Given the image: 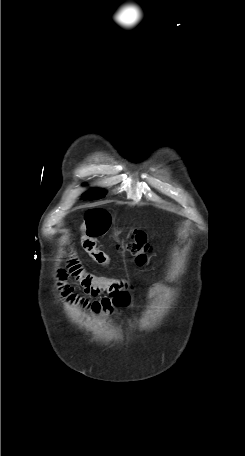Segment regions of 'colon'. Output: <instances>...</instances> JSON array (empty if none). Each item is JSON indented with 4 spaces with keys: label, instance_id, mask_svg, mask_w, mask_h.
<instances>
[{
    "label": "colon",
    "instance_id": "1",
    "mask_svg": "<svg viewBox=\"0 0 245 456\" xmlns=\"http://www.w3.org/2000/svg\"><path fill=\"white\" fill-rule=\"evenodd\" d=\"M120 250L130 253L135 258V262L142 266L148 260L150 246L146 235L143 232H136L133 234L131 241L120 246Z\"/></svg>",
    "mask_w": 245,
    "mask_h": 456
}]
</instances>
